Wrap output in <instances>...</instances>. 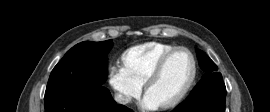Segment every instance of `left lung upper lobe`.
<instances>
[{"label": "left lung upper lobe", "mask_w": 270, "mask_h": 112, "mask_svg": "<svg viewBox=\"0 0 270 112\" xmlns=\"http://www.w3.org/2000/svg\"><path fill=\"white\" fill-rule=\"evenodd\" d=\"M197 56L200 67L205 72L200 82L194 87L187 99L192 98L203 90H205L211 84H214L222 80V75L217 70L216 64L206 55L202 50H197Z\"/></svg>", "instance_id": "5c2ea615"}]
</instances>
